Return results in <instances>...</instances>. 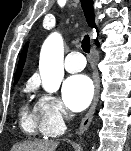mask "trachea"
<instances>
[{
  "label": "trachea",
  "mask_w": 131,
  "mask_h": 151,
  "mask_svg": "<svg viewBox=\"0 0 131 151\" xmlns=\"http://www.w3.org/2000/svg\"><path fill=\"white\" fill-rule=\"evenodd\" d=\"M82 49L86 53L90 52V38L88 35H85V37L82 40Z\"/></svg>",
  "instance_id": "obj_1"
}]
</instances>
